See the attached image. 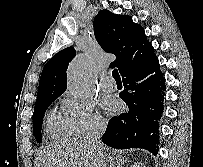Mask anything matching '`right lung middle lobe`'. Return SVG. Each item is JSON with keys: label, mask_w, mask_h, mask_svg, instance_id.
<instances>
[{"label": "right lung middle lobe", "mask_w": 203, "mask_h": 167, "mask_svg": "<svg viewBox=\"0 0 203 167\" xmlns=\"http://www.w3.org/2000/svg\"><path fill=\"white\" fill-rule=\"evenodd\" d=\"M57 97L49 98L43 100L39 103H36L34 107L33 113V133L35 135L36 140L40 143L42 140L41 137V128H42V121L44 117V113L50 104L56 99Z\"/></svg>", "instance_id": "1"}]
</instances>
